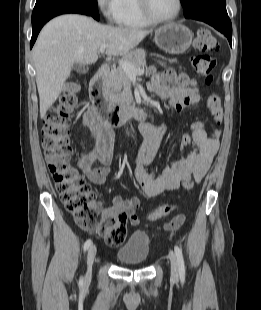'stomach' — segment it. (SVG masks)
Instances as JSON below:
<instances>
[{"instance_id":"obj_1","label":"stomach","mask_w":261,"mask_h":310,"mask_svg":"<svg viewBox=\"0 0 261 310\" xmlns=\"http://www.w3.org/2000/svg\"><path fill=\"white\" fill-rule=\"evenodd\" d=\"M193 34L182 24L169 23L155 31L156 45L166 53L182 54L192 43Z\"/></svg>"}]
</instances>
